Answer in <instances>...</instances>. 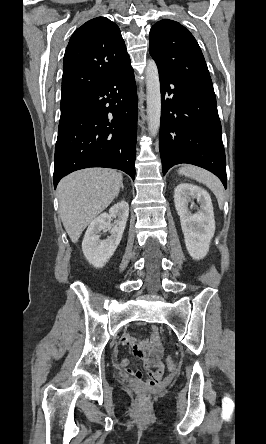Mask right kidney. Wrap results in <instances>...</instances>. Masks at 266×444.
I'll return each instance as SVG.
<instances>
[{
	"instance_id": "right-kidney-1",
	"label": "right kidney",
	"mask_w": 266,
	"mask_h": 444,
	"mask_svg": "<svg viewBox=\"0 0 266 444\" xmlns=\"http://www.w3.org/2000/svg\"><path fill=\"white\" fill-rule=\"evenodd\" d=\"M129 215V205L121 201L109 210L96 217L88 226L82 242V251L87 261L96 268L103 267L118 247ZM111 218H116V224L111 225ZM102 230L109 231L110 236L100 240L98 235Z\"/></svg>"
}]
</instances>
